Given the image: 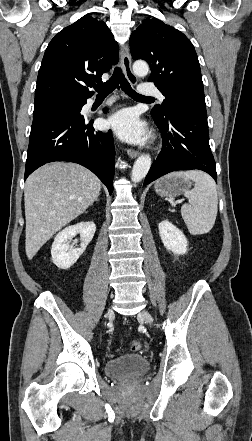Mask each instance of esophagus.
I'll list each match as a JSON object with an SVG mask.
<instances>
[{
    "mask_svg": "<svg viewBox=\"0 0 252 441\" xmlns=\"http://www.w3.org/2000/svg\"><path fill=\"white\" fill-rule=\"evenodd\" d=\"M121 61H122V67L124 70V74H125L127 80L132 85H136L137 84V77L135 76V74L133 73L132 68H131V56H130L127 44L124 46V53L121 56ZM127 154L130 158H136L139 155V151H136L134 149H128Z\"/></svg>",
    "mask_w": 252,
    "mask_h": 441,
    "instance_id": "1",
    "label": "esophagus"
}]
</instances>
